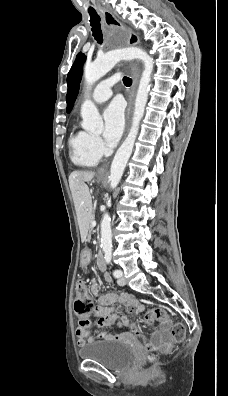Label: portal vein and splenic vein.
I'll list each match as a JSON object with an SVG mask.
<instances>
[{
    "instance_id": "18ae733b",
    "label": "portal vein and splenic vein",
    "mask_w": 228,
    "mask_h": 396,
    "mask_svg": "<svg viewBox=\"0 0 228 396\" xmlns=\"http://www.w3.org/2000/svg\"><path fill=\"white\" fill-rule=\"evenodd\" d=\"M96 225V221H93L92 222V226L94 227Z\"/></svg>"
}]
</instances>
